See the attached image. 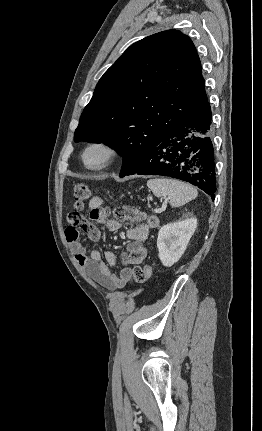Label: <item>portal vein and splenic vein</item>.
Returning a JSON list of instances; mask_svg holds the SVG:
<instances>
[{
	"label": "portal vein and splenic vein",
	"mask_w": 262,
	"mask_h": 431,
	"mask_svg": "<svg viewBox=\"0 0 262 431\" xmlns=\"http://www.w3.org/2000/svg\"><path fill=\"white\" fill-rule=\"evenodd\" d=\"M164 203H166V202H164ZM154 212L158 213V212H160V210L159 209H155Z\"/></svg>",
	"instance_id": "18ae733b"
}]
</instances>
